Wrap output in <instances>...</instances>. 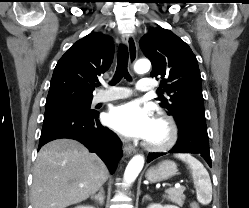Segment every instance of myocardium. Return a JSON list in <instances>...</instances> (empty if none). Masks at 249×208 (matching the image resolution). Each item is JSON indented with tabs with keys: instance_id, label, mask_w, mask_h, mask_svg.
Here are the masks:
<instances>
[{
	"instance_id": "1",
	"label": "myocardium",
	"mask_w": 249,
	"mask_h": 208,
	"mask_svg": "<svg viewBox=\"0 0 249 208\" xmlns=\"http://www.w3.org/2000/svg\"><path fill=\"white\" fill-rule=\"evenodd\" d=\"M156 122L162 124L167 131L166 138L161 142L147 141L146 148L153 151H162L171 148L178 139V127L174 119L165 114H158Z\"/></svg>"
}]
</instances>
